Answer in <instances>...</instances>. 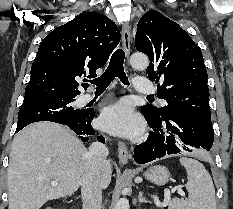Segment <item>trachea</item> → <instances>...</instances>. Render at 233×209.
<instances>
[{
  "mask_svg": "<svg viewBox=\"0 0 233 209\" xmlns=\"http://www.w3.org/2000/svg\"><path fill=\"white\" fill-rule=\"evenodd\" d=\"M124 59V51L120 48L117 49L111 56L109 65L105 72L100 77L89 80V82L96 85V90H105L115 77H118L124 85H129L128 78L124 72ZM148 98L153 99L152 96H148Z\"/></svg>",
  "mask_w": 233,
  "mask_h": 209,
  "instance_id": "obj_1",
  "label": "trachea"
}]
</instances>
